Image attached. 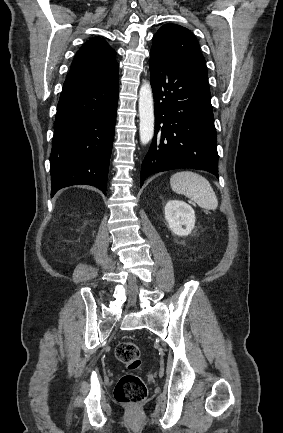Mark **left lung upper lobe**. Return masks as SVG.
Returning a JSON list of instances; mask_svg holds the SVG:
<instances>
[{
    "label": "left lung upper lobe",
    "mask_w": 283,
    "mask_h": 433,
    "mask_svg": "<svg viewBox=\"0 0 283 433\" xmlns=\"http://www.w3.org/2000/svg\"><path fill=\"white\" fill-rule=\"evenodd\" d=\"M150 52L195 69L206 78L208 87L205 59L198 41L188 29L175 24L163 25L153 37ZM205 100L207 107L212 109L210 91Z\"/></svg>",
    "instance_id": "obj_1"
}]
</instances>
